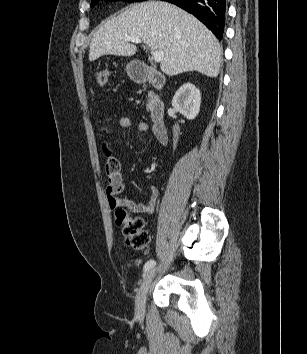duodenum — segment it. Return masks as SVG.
Listing matches in <instances>:
<instances>
[{"label": "duodenum", "instance_id": "410a0bca", "mask_svg": "<svg viewBox=\"0 0 307 354\" xmlns=\"http://www.w3.org/2000/svg\"><path fill=\"white\" fill-rule=\"evenodd\" d=\"M133 78L138 83H149L157 90L162 89L165 85L164 76L150 66L135 70ZM150 117L155 137L160 143H166L168 140V129L165 120V106L158 95L152 97Z\"/></svg>", "mask_w": 307, "mask_h": 354}]
</instances>
